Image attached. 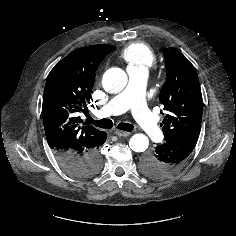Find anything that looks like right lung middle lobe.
Listing matches in <instances>:
<instances>
[{
    "label": "right lung middle lobe",
    "mask_w": 236,
    "mask_h": 236,
    "mask_svg": "<svg viewBox=\"0 0 236 236\" xmlns=\"http://www.w3.org/2000/svg\"><path fill=\"white\" fill-rule=\"evenodd\" d=\"M94 169H95V172H96L98 168H94Z\"/></svg>",
    "instance_id": "obj_1"
}]
</instances>
